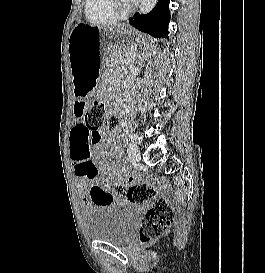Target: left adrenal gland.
Returning a JSON list of instances; mask_svg holds the SVG:
<instances>
[{
  "label": "left adrenal gland",
  "mask_w": 265,
  "mask_h": 273,
  "mask_svg": "<svg viewBox=\"0 0 265 273\" xmlns=\"http://www.w3.org/2000/svg\"><path fill=\"white\" fill-rule=\"evenodd\" d=\"M148 56V53H146V54H141V55H139V57H138V62H139V64L142 62V58H144V57H147Z\"/></svg>",
  "instance_id": "left-adrenal-gland-1"
}]
</instances>
